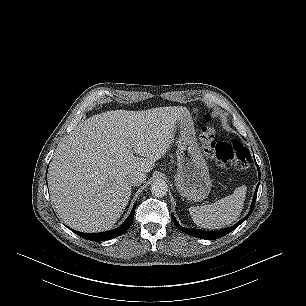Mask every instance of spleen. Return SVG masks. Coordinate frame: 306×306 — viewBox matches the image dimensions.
<instances>
[{
  "label": "spleen",
  "instance_id": "1",
  "mask_svg": "<svg viewBox=\"0 0 306 306\" xmlns=\"http://www.w3.org/2000/svg\"><path fill=\"white\" fill-rule=\"evenodd\" d=\"M247 187H237L232 195L210 205L190 207L189 213L194 223L205 229H221L234 222L241 214Z\"/></svg>",
  "mask_w": 306,
  "mask_h": 306
}]
</instances>
